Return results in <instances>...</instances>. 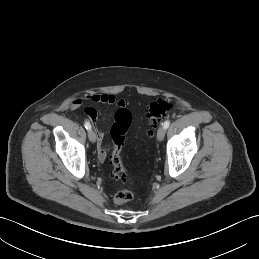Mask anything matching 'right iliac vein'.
<instances>
[{"instance_id": "63e3f726", "label": "right iliac vein", "mask_w": 259, "mask_h": 259, "mask_svg": "<svg viewBox=\"0 0 259 259\" xmlns=\"http://www.w3.org/2000/svg\"><path fill=\"white\" fill-rule=\"evenodd\" d=\"M88 138L92 143L96 142V134L93 130L88 131Z\"/></svg>"}]
</instances>
